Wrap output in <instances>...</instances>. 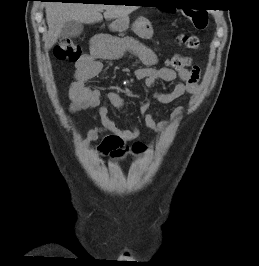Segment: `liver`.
<instances>
[{
	"label": "liver",
	"mask_w": 259,
	"mask_h": 266,
	"mask_svg": "<svg viewBox=\"0 0 259 266\" xmlns=\"http://www.w3.org/2000/svg\"><path fill=\"white\" fill-rule=\"evenodd\" d=\"M136 9V6L124 5L50 2L46 4L48 34L45 48L50 49L57 42L62 28L69 21L93 24L103 19V10L105 19H118L128 17Z\"/></svg>",
	"instance_id": "obj_1"
}]
</instances>
